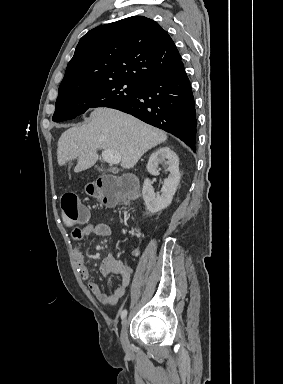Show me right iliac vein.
<instances>
[{
    "instance_id": "right-iliac-vein-1",
    "label": "right iliac vein",
    "mask_w": 283,
    "mask_h": 384,
    "mask_svg": "<svg viewBox=\"0 0 283 384\" xmlns=\"http://www.w3.org/2000/svg\"><path fill=\"white\" fill-rule=\"evenodd\" d=\"M120 341H121V344H122V347L124 349V351L127 353V354H131L132 352V348H131V345H130V341L128 339V320L125 319L122 323V329H121V334H120Z\"/></svg>"
}]
</instances>
